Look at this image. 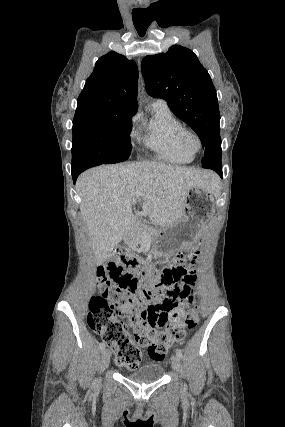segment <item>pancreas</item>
<instances>
[{"mask_svg": "<svg viewBox=\"0 0 285 427\" xmlns=\"http://www.w3.org/2000/svg\"><path fill=\"white\" fill-rule=\"evenodd\" d=\"M148 229L144 225L136 224L128 236L125 238V243L128 246H133L144 239V235L147 234Z\"/></svg>", "mask_w": 285, "mask_h": 427, "instance_id": "obj_1", "label": "pancreas"}]
</instances>
